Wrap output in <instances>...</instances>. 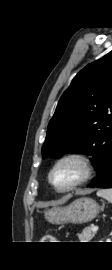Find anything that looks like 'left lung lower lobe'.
<instances>
[{
	"label": "left lung lower lobe",
	"instance_id": "obj_1",
	"mask_svg": "<svg viewBox=\"0 0 112 270\" xmlns=\"http://www.w3.org/2000/svg\"><path fill=\"white\" fill-rule=\"evenodd\" d=\"M88 187L112 188V150L101 167L98 176Z\"/></svg>",
	"mask_w": 112,
	"mask_h": 270
}]
</instances>
